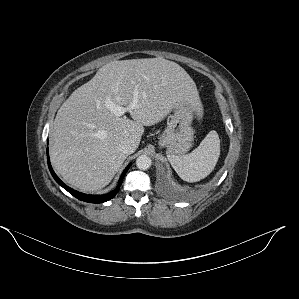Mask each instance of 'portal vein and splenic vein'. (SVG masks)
<instances>
[{"label":"portal vein and splenic vein","mask_w":299,"mask_h":299,"mask_svg":"<svg viewBox=\"0 0 299 299\" xmlns=\"http://www.w3.org/2000/svg\"><path fill=\"white\" fill-rule=\"evenodd\" d=\"M136 96H137V94L135 93V98H134L133 102L130 105H128L127 107H122L120 105H115L112 102H108V106L115 113V115L122 116L127 111H129L130 109H133V108L136 107V105H137V98H136Z\"/></svg>","instance_id":"portal-vein-and-splenic-vein-1"}]
</instances>
